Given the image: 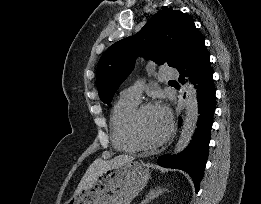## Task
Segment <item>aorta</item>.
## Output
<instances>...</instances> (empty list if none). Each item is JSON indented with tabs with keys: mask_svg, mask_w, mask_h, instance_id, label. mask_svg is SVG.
<instances>
[{
	"mask_svg": "<svg viewBox=\"0 0 261 204\" xmlns=\"http://www.w3.org/2000/svg\"><path fill=\"white\" fill-rule=\"evenodd\" d=\"M198 116L197 92L194 85L188 81L186 83L185 116L180 136L174 149V154L182 152L190 143L196 129Z\"/></svg>",
	"mask_w": 261,
	"mask_h": 204,
	"instance_id": "aorta-1",
	"label": "aorta"
}]
</instances>
